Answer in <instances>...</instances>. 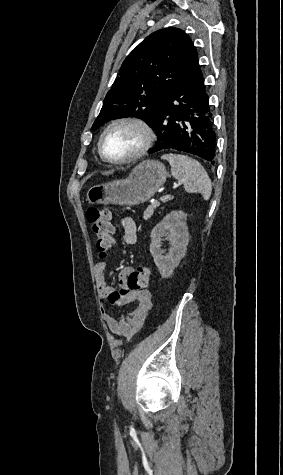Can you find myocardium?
I'll return each instance as SVG.
<instances>
[{
  "mask_svg": "<svg viewBox=\"0 0 283 475\" xmlns=\"http://www.w3.org/2000/svg\"><path fill=\"white\" fill-rule=\"evenodd\" d=\"M134 125L136 127H139L144 135L143 141L141 144L138 146V148L133 151L131 154H128L126 156H122L119 158H110L108 157L104 150H103V140L105 136L115 127L120 126V125ZM155 138V132L153 127L144 119L135 117V116H124V117H119L113 121H111L102 131L100 134L99 140H98V152L100 157L106 161V162H134L142 158L151 148Z\"/></svg>",
  "mask_w": 283,
  "mask_h": 475,
  "instance_id": "obj_1",
  "label": "myocardium"
}]
</instances>
